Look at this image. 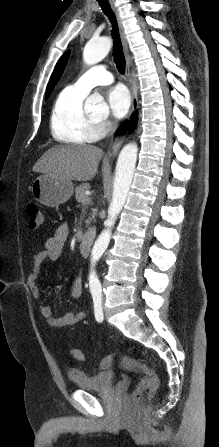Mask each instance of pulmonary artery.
I'll return each instance as SVG.
<instances>
[{
  "label": "pulmonary artery",
  "instance_id": "1",
  "mask_svg": "<svg viewBox=\"0 0 219 447\" xmlns=\"http://www.w3.org/2000/svg\"><path fill=\"white\" fill-rule=\"evenodd\" d=\"M114 81L113 75L102 66H96L72 83L69 87L78 93L87 95L88 92L97 85H108Z\"/></svg>",
  "mask_w": 219,
  "mask_h": 447
}]
</instances>
